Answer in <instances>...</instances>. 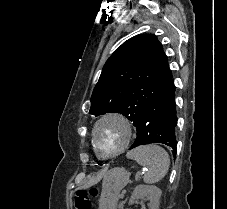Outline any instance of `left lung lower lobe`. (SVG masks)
<instances>
[{
	"label": "left lung lower lobe",
	"instance_id": "left-lung-lower-lobe-1",
	"mask_svg": "<svg viewBox=\"0 0 227 209\" xmlns=\"http://www.w3.org/2000/svg\"><path fill=\"white\" fill-rule=\"evenodd\" d=\"M177 123L173 79L145 107L137 125V137L129 149L151 143H163L177 152Z\"/></svg>",
	"mask_w": 227,
	"mask_h": 209
}]
</instances>
